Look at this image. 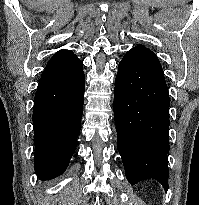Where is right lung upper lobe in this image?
<instances>
[{"instance_id": "1", "label": "right lung upper lobe", "mask_w": 199, "mask_h": 205, "mask_svg": "<svg viewBox=\"0 0 199 205\" xmlns=\"http://www.w3.org/2000/svg\"><path fill=\"white\" fill-rule=\"evenodd\" d=\"M83 69L82 61L71 50H60L47 63L43 76L55 75L58 78L74 76Z\"/></svg>"}]
</instances>
